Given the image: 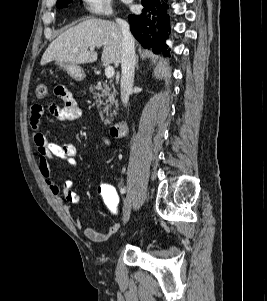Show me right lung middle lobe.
<instances>
[{
    "mask_svg": "<svg viewBox=\"0 0 267 301\" xmlns=\"http://www.w3.org/2000/svg\"><path fill=\"white\" fill-rule=\"evenodd\" d=\"M71 2H72V0H58L57 7H65Z\"/></svg>",
    "mask_w": 267,
    "mask_h": 301,
    "instance_id": "dd1d6c3e",
    "label": "right lung middle lobe"
}]
</instances>
